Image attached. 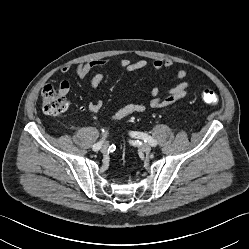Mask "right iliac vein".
Listing matches in <instances>:
<instances>
[{"label":"right iliac vein","mask_w":249,"mask_h":249,"mask_svg":"<svg viewBox=\"0 0 249 249\" xmlns=\"http://www.w3.org/2000/svg\"><path fill=\"white\" fill-rule=\"evenodd\" d=\"M108 143H104L102 146H101V151L102 152H106L108 150Z\"/></svg>","instance_id":"1"}]
</instances>
